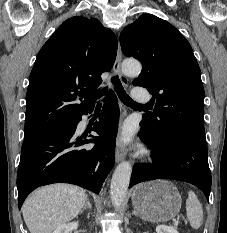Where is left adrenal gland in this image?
<instances>
[{
    "instance_id": "obj_1",
    "label": "left adrenal gland",
    "mask_w": 227,
    "mask_h": 233,
    "mask_svg": "<svg viewBox=\"0 0 227 233\" xmlns=\"http://www.w3.org/2000/svg\"><path fill=\"white\" fill-rule=\"evenodd\" d=\"M132 214L135 215V216H139V214H138V212H137L136 210H134V211L132 212Z\"/></svg>"
}]
</instances>
